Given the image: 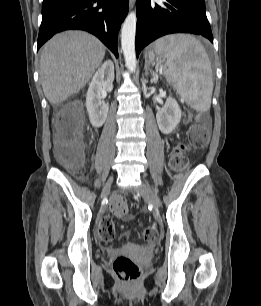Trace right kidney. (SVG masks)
Here are the masks:
<instances>
[{
	"instance_id": "right-kidney-1",
	"label": "right kidney",
	"mask_w": 261,
	"mask_h": 306,
	"mask_svg": "<svg viewBox=\"0 0 261 306\" xmlns=\"http://www.w3.org/2000/svg\"><path fill=\"white\" fill-rule=\"evenodd\" d=\"M114 64L107 60L96 71L86 94V108L93 127H101L107 118L109 106L104 98L113 89Z\"/></svg>"
}]
</instances>
